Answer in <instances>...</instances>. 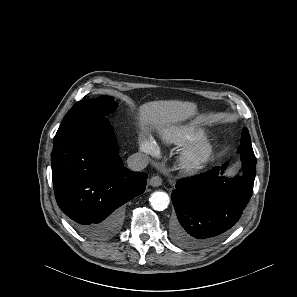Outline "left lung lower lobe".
I'll return each instance as SVG.
<instances>
[{
  "label": "left lung lower lobe",
  "instance_id": "obj_1",
  "mask_svg": "<svg viewBox=\"0 0 297 297\" xmlns=\"http://www.w3.org/2000/svg\"><path fill=\"white\" fill-rule=\"evenodd\" d=\"M243 175L229 182L220 175L226 164L205 173L181 179L171 199L177 218L172 240L183 247L211 245L239 222L253 193L256 175L254 154H240Z\"/></svg>",
  "mask_w": 297,
  "mask_h": 297
}]
</instances>
